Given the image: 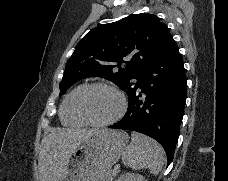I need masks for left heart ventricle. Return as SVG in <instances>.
Here are the masks:
<instances>
[{"label":"left heart ventricle","mask_w":228,"mask_h":181,"mask_svg":"<svg viewBox=\"0 0 228 181\" xmlns=\"http://www.w3.org/2000/svg\"><path fill=\"white\" fill-rule=\"evenodd\" d=\"M83 108L91 113L94 121L103 120L111 116L119 106V99L115 92L107 88H94L83 102Z\"/></svg>","instance_id":"b2bd125f"}]
</instances>
